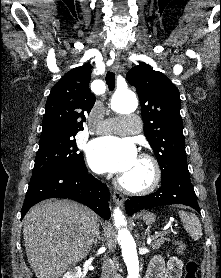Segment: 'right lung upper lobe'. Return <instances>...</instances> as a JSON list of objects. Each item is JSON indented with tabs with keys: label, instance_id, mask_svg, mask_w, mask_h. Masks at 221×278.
Listing matches in <instances>:
<instances>
[{
	"label": "right lung upper lobe",
	"instance_id": "right-lung-upper-lobe-1",
	"mask_svg": "<svg viewBox=\"0 0 221 278\" xmlns=\"http://www.w3.org/2000/svg\"><path fill=\"white\" fill-rule=\"evenodd\" d=\"M91 65L67 72L51 89L45 106L40 142L75 136L83 130L95 96L89 89Z\"/></svg>",
	"mask_w": 221,
	"mask_h": 278
}]
</instances>
